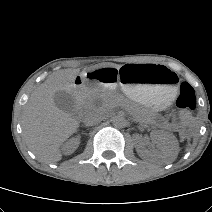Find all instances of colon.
<instances>
[{
	"mask_svg": "<svg viewBox=\"0 0 212 212\" xmlns=\"http://www.w3.org/2000/svg\"><path fill=\"white\" fill-rule=\"evenodd\" d=\"M176 104L181 111L184 124L189 125L193 121L192 111L197 106V98L194 88L187 82L181 84Z\"/></svg>",
	"mask_w": 212,
	"mask_h": 212,
	"instance_id": "colon-1",
	"label": "colon"
}]
</instances>
